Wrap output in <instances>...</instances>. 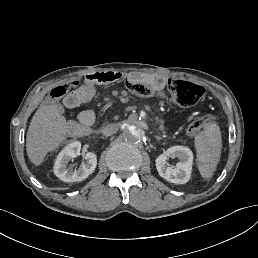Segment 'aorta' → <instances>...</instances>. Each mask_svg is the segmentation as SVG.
<instances>
[{
	"label": "aorta",
	"mask_w": 258,
	"mask_h": 258,
	"mask_svg": "<svg viewBox=\"0 0 258 258\" xmlns=\"http://www.w3.org/2000/svg\"><path fill=\"white\" fill-rule=\"evenodd\" d=\"M125 138L130 142L140 141L143 138V131L138 125L131 124L125 130Z\"/></svg>",
	"instance_id": "762f6f07"
}]
</instances>
